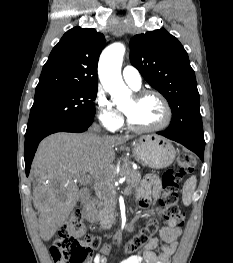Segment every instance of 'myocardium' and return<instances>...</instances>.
Here are the masks:
<instances>
[{
	"mask_svg": "<svg viewBox=\"0 0 233 263\" xmlns=\"http://www.w3.org/2000/svg\"><path fill=\"white\" fill-rule=\"evenodd\" d=\"M133 96L136 100H141L142 98L147 97V96H154V97L158 98L159 101L161 102V104L163 105V108L165 111V118L160 124H158L156 126L139 127V126L134 125L131 122L128 115L123 111V114H124L125 120H126V125H127L129 130H131L133 132H137V133H150V132L161 131V130L167 128L171 124V121L173 118L172 108H171L168 100L165 98V96L163 94H161L160 92L155 91V90L144 89V90H140L138 92H135Z\"/></svg>",
	"mask_w": 233,
	"mask_h": 263,
	"instance_id": "myocardium-1",
	"label": "myocardium"
}]
</instances>
